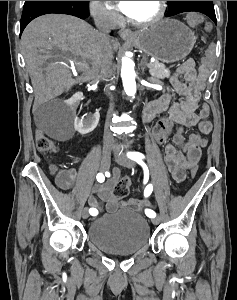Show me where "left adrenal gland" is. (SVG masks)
I'll use <instances>...</instances> for the list:
<instances>
[{
    "mask_svg": "<svg viewBox=\"0 0 237 300\" xmlns=\"http://www.w3.org/2000/svg\"><path fill=\"white\" fill-rule=\"evenodd\" d=\"M146 63H147L146 57H143V59H142V61H141V63H140V67H141L142 73H144V69H145V67H146Z\"/></svg>",
    "mask_w": 237,
    "mask_h": 300,
    "instance_id": "a2214340",
    "label": "left adrenal gland"
}]
</instances>
